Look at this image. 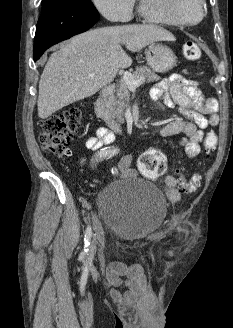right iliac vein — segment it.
I'll use <instances>...</instances> for the list:
<instances>
[{"instance_id":"1","label":"right iliac vein","mask_w":233,"mask_h":328,"mask_svg":"<svg viewBox=\"0 0 233 328\" xmlns=\"http://www.w3.org/2000/svg\"><path fill=\"white\" fill-rule=\"evenodd\" d=\"M96 253V245L92 242L87 253V263H91Z\"/></svg>"}]
</instances>
